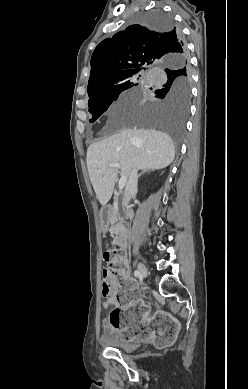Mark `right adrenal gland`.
<instances>
[{
  "instance_id": "2a0ac1e0",
  "label": "right adrenal gland",
  "mask_w": 248,
  "mask_h": 389,
  "mask_svg": "<svg viewBox=\"0 0 248 389\" xmlns=\"http://www.w3.org/2000/svg\"><path fill=\"white\" fill-rule=\"evenodd\" d=\"M145 172H146V171H143V172L139 175V177H141Z\"/></svg>"
}]
</instances>
